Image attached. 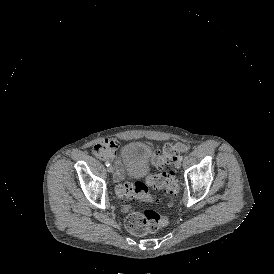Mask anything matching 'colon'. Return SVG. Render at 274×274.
<instances>
[{
	"instance_id": "1",
	"label": "colon",
	"mask_w": 274,
	"mask_h": 274,
	"mask_svg": "<svg viewBox=\"0 0 274 274\" xmlns=\"http://www.w3.org/2000/svg\"><path fill=\"white\" fill-rule=\"evenodd\" d=\"M187 149V144L183 140H169L161 147V150L154 157V164L160 167L153 175H149L144 181H136L125 183L119 186L117 194L120 200H124L130 195L146 197L149 191V186L162 190L169 196H174L177 193L178 185L173 172L165 171L164 167L171 164L172 155L183 153ZM104 152V151H92ZM125 228L134 236H145L156 232L161 227L167 224V219L158 213L156 210L146 208L141 212H134L128 215L125 219Z\"/></svg>"
}]
</instances>
